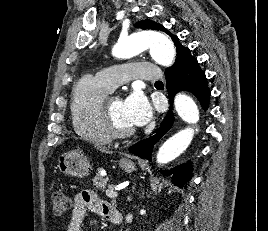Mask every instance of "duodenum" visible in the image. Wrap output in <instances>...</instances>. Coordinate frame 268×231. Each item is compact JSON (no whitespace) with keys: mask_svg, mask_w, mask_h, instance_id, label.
Instances as JSON below:
<instances>
[{"mask_svg":"<svg viewBox=\"0 0 268 231\" xmlns=\"http://www.w3.org/2000/svg\"><path fill=\"white\" fill-rule=\"evenodd\" d=\"M110 220L114 221L115 223L120 222V215L116 210H114L112 216L110 217Z\"/></svg>","mask_w":268,"mask_h":231,"instance_id":"410a0bca","label":"duodenum"}]
</instances>
